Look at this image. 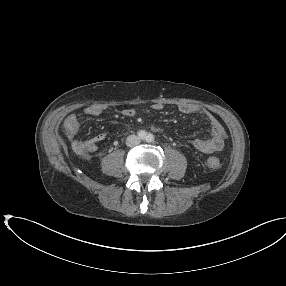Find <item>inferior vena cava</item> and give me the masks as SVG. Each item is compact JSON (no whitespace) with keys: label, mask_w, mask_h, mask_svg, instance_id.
<instances>
[{"label":"inferior vena cava","mask_w":286,"mask_h":286,"mask_svg":"<svg viewBox=\"0 0 286 286\" xmlns=\"http://www.w3.org/2000/svg\"><path fill=\"white\" fill-rule=\"evenodd\" d=\"M140 143V138L136 135H129L126 139V145L134 147Z\"/></svg>","instance_id":"602c4592"}]
</instances>
